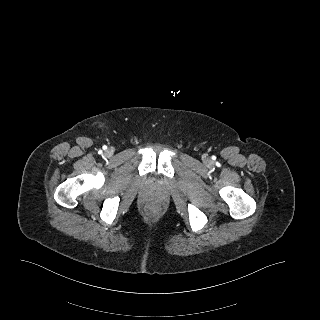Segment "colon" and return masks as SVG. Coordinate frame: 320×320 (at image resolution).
Listing matches in <instances>:
<instances>
[{"label": "colon", "mask_w": 320, "mask_h": 320, "mask_svg": "<svg viewBox=\"0 0 320 320\" xmlns=\"http://www.w3.org/2000/svg\"><path fill=\"white\" fill-rule=\"evenodd\" d=\"M150 213H154V210H150Z\"/></svg>", "instance_id": "obj_1"}]
</instances>
